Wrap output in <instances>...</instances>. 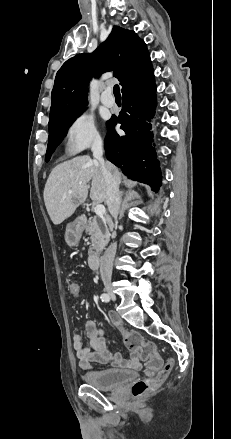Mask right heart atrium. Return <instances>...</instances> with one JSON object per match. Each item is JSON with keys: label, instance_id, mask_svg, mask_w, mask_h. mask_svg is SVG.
<instances>
[{"label": "right heart atrium", "instance_id": "obj_1", "mask_svg": "<svg viewBox=\"0 0 231 439\" xmlns=\"http://www.w3.org/2000/svg\"><path fill=\"white\" fill-rule=\"evenodd\" d=\"M66 151L78 154L89 148H97L102 144L94 118L89 114H80L69 123L66 130Z\"/></svg>", "mask_w": 231, "mask_h": 439}]
</instances>
